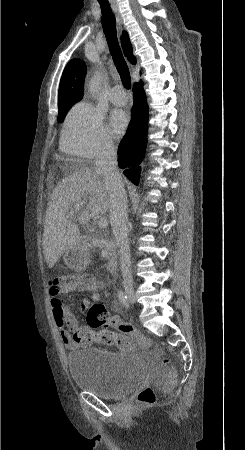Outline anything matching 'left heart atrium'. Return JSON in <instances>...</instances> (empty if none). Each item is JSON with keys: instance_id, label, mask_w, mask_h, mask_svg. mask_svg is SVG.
Listing matches in <instances>:
<instances>
[{"instance_id": "left-heart-atrium-1", "label": "left heart atrium", "mask_w": 245, "mask_h": 450, "mask_svg": "<svg viewBox=\"0 0 245 450\" xmlns=\"http://www.w3.org/2000/svg\"><path fill=\"white\" fill-rule=\"evenodd\" d=\"M129 124V116L123 110H114L110 116V130L115 137H120Z\"/></svg>"}]
</instances>
